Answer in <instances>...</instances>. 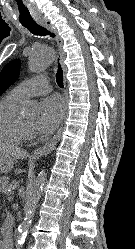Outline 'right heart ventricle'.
I'll use <instances>...</instances> for the list:
<instances>
[{
  "instance_id": "1",
  "label": "right heart ventricle",
  "mask_w": 135,
  "mask_h": 249,
  "mask_svg": "<svg viewBox=\"0 0 135 249\" xmlns=\"http://www.w3.org/2000/svg\"><path fill=\"white\" fill-rule=\"evenodd\" d=\"M22 101L12 91L0 100V144L17 145L25 140L17 114Z\"/></svg>"
}]
</instances>
